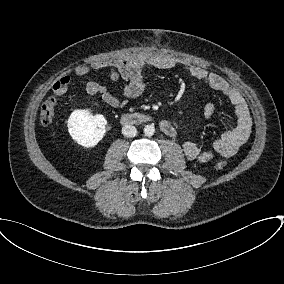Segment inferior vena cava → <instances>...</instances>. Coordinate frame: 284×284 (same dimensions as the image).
Segmentation results:
<instances>
[{
    "instance_id": "602c4592",
    "label": "inferior vena cava",
    "mask_w": 284,
    "mask_h": 284,
    "mask_svg": "<svg viewBox=\"0 0 284 284\" xmlns=\"http://www.w3.org/2000/svg\"><path fill=\"white\" fill-rule=\"evenodd\" d=\"M122 134L126 137H134L137 134V129L133 125H125L122 127Z\"/></svg>"
}]
</instances>
